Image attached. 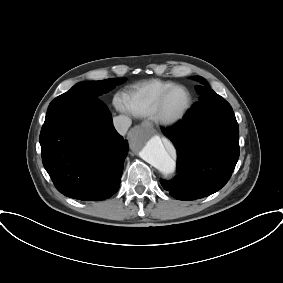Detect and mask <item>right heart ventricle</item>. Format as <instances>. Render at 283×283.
Returning a JSON list of instances; mask_svg holds the SVG:
<instances>
[{
    "label": "right heart ventricle",
    "instance_id": "right-heart-ventricle-1",
    "mask_svg": "<svg viewBox=\"0 0 283 283\" xmlns=\"http://www.w3.org/2000/svg\"><path fill=\"white\" fill-rule=\"evenodd\" d=\"M173 85L161 79L143 82L123 94V105L136 117L152 116L160 95Z\"/></svg>",
    "mask_w": 283,
    "mask_h": 283
}]
</instances>
